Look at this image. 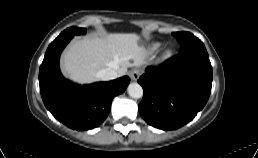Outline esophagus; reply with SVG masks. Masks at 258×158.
<instances>
[{
	"label": "esophagus",
	"mask_w": 258,
	"mask_h": 158,
	"mask_svg": "<svg viewBox=\"0 0 258 158\" xmlns=\"http://www.w3.org/2000/svg\"><path fill=\"white\" fill-rule=\"evenodd\" d=\"M140 75H141V70H139V69H133L131 72H130V78H131V80H133V81H136V80H138V78L140 77Z\"/></svg>",
	"instance_id": "obj_1"
}]
</instances>
